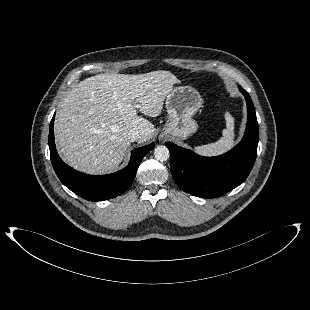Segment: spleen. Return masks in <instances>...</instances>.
Returning a JSON list of instances; mask_svg holds the SVG:
<instances>
[{
  "instance_id": "obj_1",
  "label": "spleen",
  "mask_w": 310,
  "mask_h": 310,
  "mask_svg": "<svg viewBox=\"0 0 310 310\" xmlns=\"http://www.w3.org/2000/svg\"><path fill=\"white\" fill-rule=\"evenodd\" d=\"M226 128L222 132V137L215 143L197 146L194 150L204 156H216L227 152L234 143V117L225 113Z\"/></svg>"
}]
</instances>
